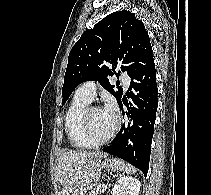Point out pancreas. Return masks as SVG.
<instances>
[{"label":"pancreas","mask_w":211,"mask_h":195,"mask_svg":"<svg viewBox=\"0 0 211 195\" xmlns=\"http://www.w3.org/2000/svg\"><path fill=\"white\" fill-rule=\"evenodd\" d=\"M101 187H102V186H99L98 188L92 190L91 192H89L88 195H101V193H102V192H101Z\"/></svg>","instance_id":"1"}]
</instances>
